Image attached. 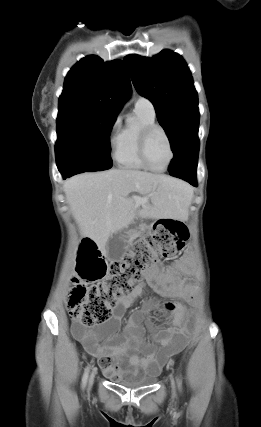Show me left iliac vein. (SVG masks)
Returning <instances> with one entry per match:
<instances>
[{"mask_svg":"<svg viewBox=\"0 0 261 427\" xmlns=\"http://www.w3.org/2000/svg\"><path fill=\"white\" fill-rule=\"evenodd\" d=\"M172 388H173V391H174V382H173V380H172Z\"/></svg>","mask_w":261,"mask_h":427,"instance_id":"1","label":"left iliac vein"}]
</instances>
